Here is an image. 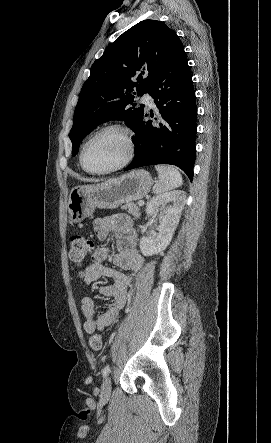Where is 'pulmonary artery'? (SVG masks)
Masks as SVG:
<instances>
[{"label":"pulmonary artery","instance_id":"e3ab8cb5","mask_svg":"<svg viewBox=\"0 0 271 443\" xmlns=\"http://www.w3.org/2000/svg\"><path fill=\"white\" fill-rule=\"evenodd\" d=\"M142 102L144 103V104H146L148 107H150V108H154L155 107V102H154V99H153V97L150 95V94H148V93H146V94H144L143 96H142Z\"/></svg>","mask_w":271,"mask_h":443}]
</instances>
